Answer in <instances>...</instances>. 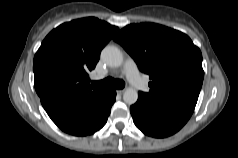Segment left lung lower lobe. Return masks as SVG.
<instances>
[{
	"label": "left lung lower lobe",
	"instance_id": "0a47b994",
	"mask_svg": "<svg viewBox=\"0 0 238 158\" xmlns=\"http://www.w3.org/2000/svg\"><path fill=\"white\" fill-rule=\"evenodd\" d=\"M199 94L188 93L168 98H151L139 92L130 107L135 125L146 135L163 138L180 130L191 117Z\"/></svg>",
	"mask_w": 238,
	"mask_h": 158
}]
</instances>
